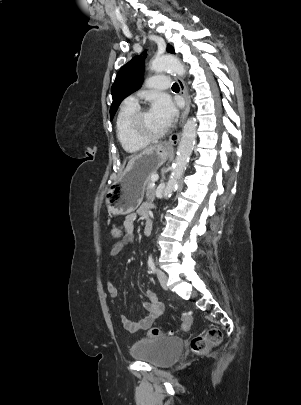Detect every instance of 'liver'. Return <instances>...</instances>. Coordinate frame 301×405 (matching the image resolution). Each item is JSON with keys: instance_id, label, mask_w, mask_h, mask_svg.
Returning a JSON list of instances; mask_svg holds the SVG:
<instances>
[{"instance_id": "6515ba94", "label": "liver", "mask_w": 301, "mask_h": 405, "mask_svg": "<svg viewBox=\"0 0 301 405\" xmlns=\"http://www.w3.org/2000/svg\"><path fill=\"white\" fill-rule=\"evenodd\" d=\"M155 147H156V146L149 147V148H147L145 151H143L142 153L147 152L148 150H151V149H153V148H155ZM142 153H141V154H142ZM139 155H140V154H139ZM139 155H138V156H139ZM134 158H135V157H134Z\"/></svg>"}]
</instances>
